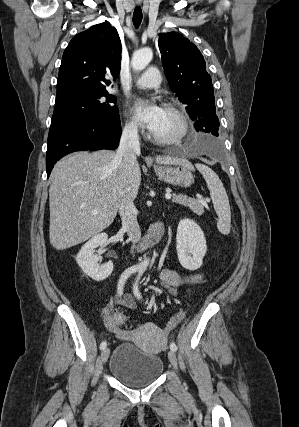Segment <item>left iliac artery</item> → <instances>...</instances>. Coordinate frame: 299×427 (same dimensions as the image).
<instances>
[{"instance_id":"1","label":"left iliac artery","mask_w":299,"mask_h":427,"mask_svg":"<svg viewBox=\"0 0 299 427\" xmlns=\"http://www.w3.org/2000/svg\"><path fill=\"white\" fill-rule=\"evenodd\" d=\"M142 274H143V270H139V274H138L136 281L133 285V293L138 299H142L141 293H140L139 288H138V283H139V280H140V277L142 276ZM170 349L173 351H176L177 350L176 344L172 342L170 344Z\"/></svg>"}]
</instances>
